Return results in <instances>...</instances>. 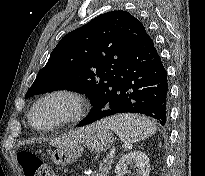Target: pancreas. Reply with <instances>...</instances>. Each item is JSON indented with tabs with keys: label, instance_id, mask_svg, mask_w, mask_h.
Wrapping results in <instances>:
<instances>
[{
	"label": "pancreas",
	"instance_id": "pancreas-1",
	"mask_svg": "<svg viewBox=\"0 0 205 176\" xmlns=\"http://www.w3.org/2000/svg\"><path fill=\"white\" fill-rule=\"evenodd\" d=\"M112 163L113 160L107 157L103 163H100L98 173H94L92 176H108Z\"/></svg>",
	"mask_w": 205,
	"mask_h": 176
}]
</instances>
